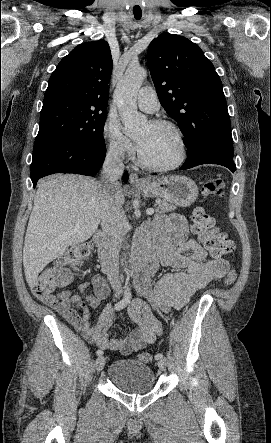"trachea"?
<instances>
[{"label":"trachea","instance_id":"3493384b","mask_svg":"<svg viewBox=\"0 0 271 443\" xmlns=\"http://www.w3.org/2000/svg\"><path fill=\"white\" fill-rule=\"evenodd\" d=\"M131 1V8H132V16L139 20L143 16V11L140 8V1L139 0H130Z\"/></svg>","mask_w":271,"mask_h":443}]
</instances>
